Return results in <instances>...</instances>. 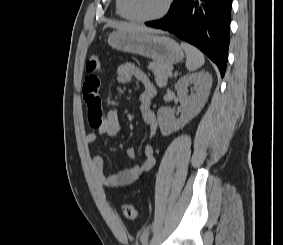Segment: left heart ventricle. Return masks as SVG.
Returning a JSON list of instances; mask_svg holds the SVG:
<instances>
[{"instance_id": "1", "label": "left heart ventricle", "mask_w": 283, "mask_h": 245, "mask_svg": "<svg viewBox=\"0 0 283 245\" xmlns=\"http://www.w3.org/2000/svg\"><path fill=\"white\" fill-rule=\"evenodd\" d=\"M129 8L133 15L138 17H150L159 13L166 0H128Z\"/></svg>"}]
</instances>
